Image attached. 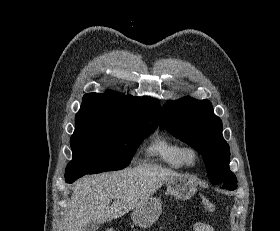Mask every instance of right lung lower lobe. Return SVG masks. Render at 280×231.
I'll return each instance as SVG.
<instances>
[{
	"label": "right lung lower lobe",
	"instance_id": "right-lung-lower-lobe-1",
	"mask_svg": "<svg viewBox=\"0 0 280 231\" xmlns=\"http://www.w3.org/2000/svg\"><path fill=\"white\" fill-rule=\"evenodd\" d=\"M85 174L83 173H65V180L68 183H73L75 180L78 178L84 176Z\"/></svg>",
	"mask_w": 280,
	"mask_h": 231
}]
</instances>
